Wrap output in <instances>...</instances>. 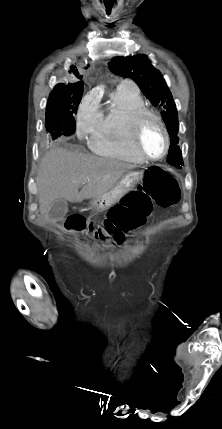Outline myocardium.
<instances>
[{
  "instance_id": "f54148a6",
  "label": "myocardium",
  "mask_w": 222,
  "mask_h": 429,
  "mask_svg": "<svg viewBox=\"0 0 222 429\" xmlns=\"http://www.w3.org/2000/svg\"><path fill=\"white\" fill-rule=\"evenodd\" d=\"M147 117L153 118L159 124V126L162 130L164 139H165V149H164L163 153L158 157H152V156L148 155L143 150V148L141 146V142H140L141 128H142V125H143L145 118H147ZM131 142H132V145H133L134 149L136 150V152L144 160H147V161L162 160L167 155V153L170 149V136H169L168 130H167L162 118L153 110L147 109L145 107L136 111L132 117V120H131Z\"/></svg>"
}]
</instances>
